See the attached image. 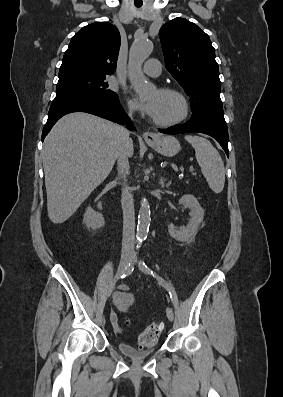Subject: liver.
<instances>
[{"instance_id":"6515ba94","label":"liver","mask_w":283,"mask_h":397,"mask_svg":"<svg viewBox=\"0 0 283 397\" xmlns=\"http://www.w3.org/2000/svg\"><path fill=\"white\" fill-rule=\"evenodd\" d=\"M121 127L76 112L62 117L44 140L42 159L49 219L68 220L111 172L123 145ZM133 156V141L127 145Z\"/></svg>"}]
</instances>
